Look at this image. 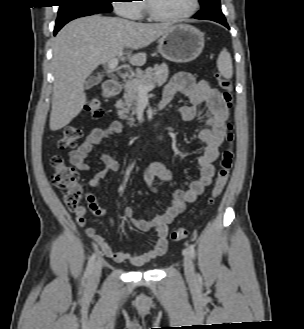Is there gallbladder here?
I'll return each instance as SVG.
<instances>
[{"instance_id": "gallbladder-1", "label": "gallbladder", "mask_w": 304, "mask_h": 329, "mask_svg": "<svg viewBox=\"0 0 304 329\" xmlns=\"http://www.w3.org/2000/svg\"><path fill=\"white\" fill-rule=\"evenodd\" d=\"M98 82H99V78L98 77H91L85 83V89H90L91 87H93L94 85H96Z\"/></svg>"}]
</instances>
